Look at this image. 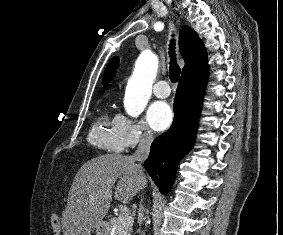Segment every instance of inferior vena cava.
Masks as SVG:
<instances>
[{
    "label": "inferior vena cava",
    "mask_w": 283,
    "mask_h": 235,
    "mask_svg": "<svg viewBox=\"0 0 283 235\" xmlns=\"http://www.w3.org/2000/svg\"><path fill=\"white\" fill-rule=\"evenodd\" d=\"M153 140V135L151 132H145L139 141V145L137 150L135 151V153L133 155L130 156V159L133 161H137L138 164H136L137 168L142 172V162H144L146 160V158L149 155L150 152V146ZM144 220V214H143V206L140 203L139 206V213H138V221L141 224Z\"/></svg>",
    "instance_id": "inferior-vena-cava-1"
}]
</instances>
